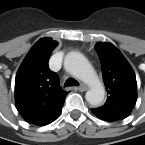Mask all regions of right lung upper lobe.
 <instances>
[{
  "label": "right lung upper lobe",
  "mask_w": 145,
  "mask_h": 145,
  "mask_svg": "<svg viewBox=\"0 0 145 145\" xmlns=\"http://www.w3.org/2000/svg\"><path fill=\"white\" fill-rule=\"evenodd\" d=\"M58 45L51 38L37 41L26 55L15 79L16 108L29 123L46 125L60 114L66 91L48 67L49 56Z\"/></svg>",
  "instance_id": "1"
}]
</instances>
